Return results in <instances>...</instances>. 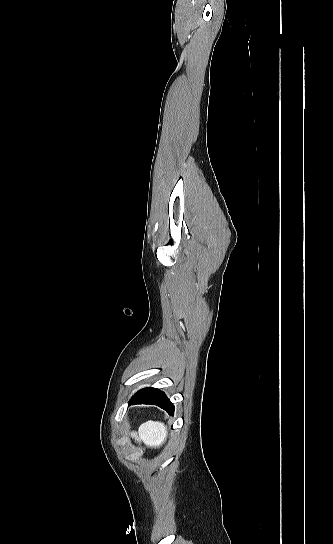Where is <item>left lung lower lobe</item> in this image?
<instances>
[{
    "label": "left lung lower lobe",
    "instance_id": "0a47b994",
    "mask_svg": "<svg viewBox=\"0 0 333 544\" xmlns=\"http://www.w3.org/2000/svg\"><path fill=\"white\" fill-rule=\"evenodd\" d=\"M131 404H154L173 415L174 406L165 394L156 388H146L137 392L129 401Z\"/></svg>",
    "mask_w": 333,
    "mask_h": 544
}]
</instances>
